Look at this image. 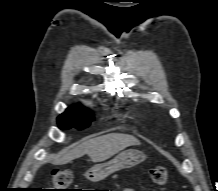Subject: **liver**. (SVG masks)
I'll return each mask as SVG.
<instances>
[{
    "instance_id": "6515ba94",
    "label": "liver",
    "mask_w": 218,
    "mask_h": 191,
    "mask_svg": "<svg viewBox=\"0 0 218 191\" xmlns=\"http://www.w3.org/2000/svg\"><path fill=\"white\" fill-rule=\"evenodd\" d=\"M134 145H140V141L134 136L110 133L87 140L62 156L51 155L49 159L55 165H62L87 154L93 162H102Z\"/></svg>"
}]
</instances>
